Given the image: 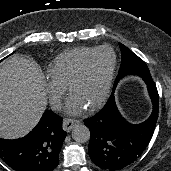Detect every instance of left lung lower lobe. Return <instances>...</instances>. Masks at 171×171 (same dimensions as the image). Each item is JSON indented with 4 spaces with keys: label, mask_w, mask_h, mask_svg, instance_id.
<instances>
[{
    "label": "left lung lower lobe",
    "mask_w": 171,
    "mask_h": 171,
    "mask_svg": "<svg viewBox=\"0 0 171 171\" xmlns=\"http://www.w3.org/2000/svg\"><path fill=\"white\" fill-rule=\"evenodd\" d=\"M153 104L150 117L140 124L127 122L119 113L114 94L93 117L85 119L90 129L88 146L92 161L106 170H119L134 162L150 142L158 118V91L153 79H147Z\"/></svg>",
    "instance_id": "left-lung-lower-lobe-1"
}]
</instances>
